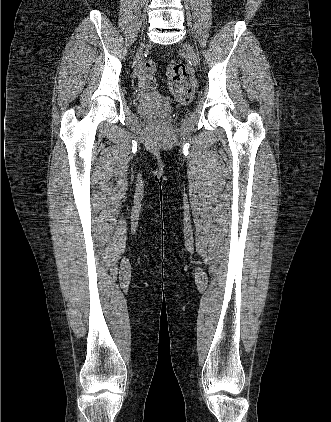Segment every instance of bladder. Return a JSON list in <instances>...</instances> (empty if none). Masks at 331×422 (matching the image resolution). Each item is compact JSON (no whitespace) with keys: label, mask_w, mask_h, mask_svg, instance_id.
Wrapping results in <instances>:
<instances>
[{"label":"bladder","mask_w":331,"mask_h":422,"mask_svg":"<svg viewBox=\"0 0 331 422\" xmlns=\"http://www.w3.org/2000/svg\"><path fill=\"white\" fill-rule=\"evenodd\" d=\"M156 100V98L155 97H153V98H149V97H146V98H144V101H147V102H152V101H155Z\"/></svg>","instance_id":"1"}]
</instances>
